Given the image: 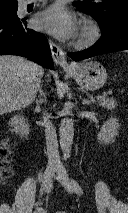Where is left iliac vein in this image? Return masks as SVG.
<instances>
[{
  "instance_id": "1",
  "label": "left iliac vein",
  "mask_w": 128,
  "mask_h": 213,
  "mask_svg": "<svg viewBox=\"0 0 128 213\" xmlns=\"http://www.w3.org/2000/svg\"><path fill=\"white\" fill-rule=\"evenodd\" d=\"M58 180L61 183V185L69 192L73 193L74 188L72 185V182L70 181L69 177L66 174V171L63 167H60L58 169Z\"/></svg>"
}]
</instances>
